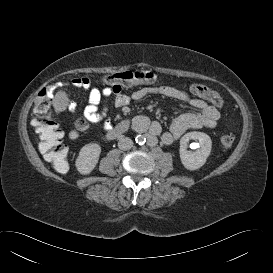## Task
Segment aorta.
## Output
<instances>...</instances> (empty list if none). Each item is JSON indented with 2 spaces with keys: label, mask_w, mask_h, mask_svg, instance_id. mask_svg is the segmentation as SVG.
Here are the masks:
<instances>
[{
  "label": "aorta",
  "mask_w": 273,
  "mask_h": 273,
  "mask_svg": "<svg viewBox=\"0 0 273 273\" xmlns=\"http://www.w3.org/2000/svg\"><path fill=\"white\" fill-rule=\"evenodd\" d=\"M135 140L139 145H143L146 142V138L143 135H138Z\"/></svg>",
  "instance_id": "aorta-1"
}]
</instances>
